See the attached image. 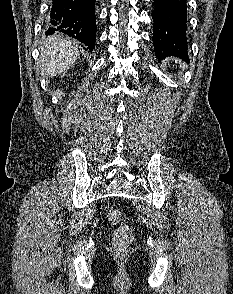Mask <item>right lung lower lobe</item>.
I'll list each match as a JSON object with an SVG mask.
<instances>
[{"label": "right lung lower lobe", "mask_w": 233, "mask_h": 294, "mask_svg": "<svg viewBox=\"0 0 233 294\" xmlns=\"http://www.w3.org/2000/svg\"><path fill=\"white\" fill-rule=\"evenodd\" d=\"M96 0H53L46 35L64 33L94 49L96 41Z\"/></svg>", "instance_id": "98d812e1"}]
</instances>
